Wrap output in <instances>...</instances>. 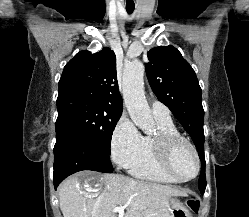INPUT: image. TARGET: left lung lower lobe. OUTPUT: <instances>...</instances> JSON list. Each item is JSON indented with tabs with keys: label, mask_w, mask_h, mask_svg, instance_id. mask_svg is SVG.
<instances>
[{
	"label": "left lung lower lobe",
	"mask_w": 249,
	"mask_h": 217,
	"mask_svg": "<svg viewBox=\"0 0 249 217\" xmlns=\"http://www.w3.org/2000/svg\"><path fill=\"white\" fill-rule=\"evenodd\" d=\"M199 184L201 185V194H204L206 188V177H205V168H201Z\"/></svg>",
	"instance_id": "0a47b994"
}]
</instances>
